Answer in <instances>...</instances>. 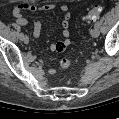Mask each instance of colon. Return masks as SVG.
I'll return each mask as SVG.
<instances>
[{
    "instance_id": "colon-1",
    "label": "colon",
    "mask_w": 119,
    "mask_h": 119,
    "mask_svg": "<svg viewBox=\"0 0 119 119\" xmlns=\"http://www.w3.org/2000/svg\"><path fill=\"white\" fill-rule=\"evenodd\" d=\"M102 13V7L101 6H92L86 15V19L88 21H94L100 17ZM71 65V60L69 59H62L60 61V66L62 69L66 70L70 67Z\"/></svg>"
}]
</instances>
